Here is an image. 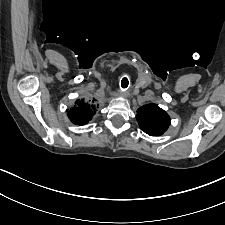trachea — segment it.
<instances>
[{"mask_svg":"<svg viewBox=\"0 0 225 225\" xmlns=\"http://www.w3.org/2000/svg\"><path fill=\"white\" fill-rule=\"evenodd\" d=\"M128 84H129L128 78L124 77L121 81V87L125 89L128 87Z\"/></svg>","mask_w":225,"mask_h":225,"instance_id":"3493384b","label":"trachea"}]
</instances>
